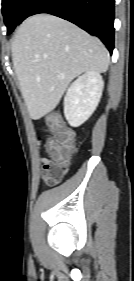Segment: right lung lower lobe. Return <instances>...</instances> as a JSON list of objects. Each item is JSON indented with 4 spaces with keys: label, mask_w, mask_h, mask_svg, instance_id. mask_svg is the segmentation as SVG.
Returning <instances> with one entry per match:
<instances>
[{
    "label": "right lung lower lobe",
    "mask_w": 134,
    "mask_h": 281,
    "mask_svg": "<svg viewBox=\"0 0 134 281\" xmlns=\"http://www.w3.org/2000/svg\"><path fill=\"white\" fill-rule=\"evenodd\" d=\"M115 0H31L24 10L27 17L48 13L68 20L91 35L99 37L110 53L114 49Z\"/></svg>",
    "instance_id": "obj_1"
}]
</instances>
